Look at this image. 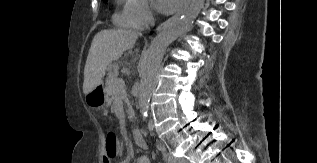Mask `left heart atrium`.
Returning <instances> with one entry per match:
<instances>
[{"label":"left heart atrium","instance_id":"1","mask_svg":"<svg viewBox=\"0 0 317 163\" xmlns=\"http://www.w3.org/2000/svg\"><path fill=\"white\" fill-rule=\"evenodd\" d=\"M182 1L183 0H155V6L159 12L169 14L177 9Z\"/></svg>","mask_w":317,"mask_h":163}]
</instances>
